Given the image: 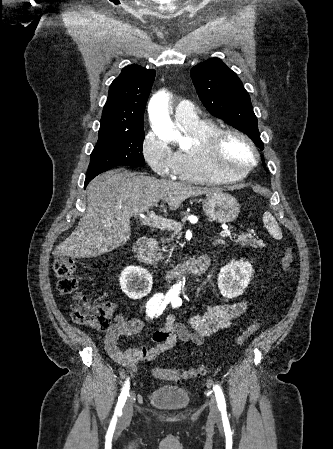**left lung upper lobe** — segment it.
<instances>
[{
    "label": "left lung upper lobe",
    "instance_id": "5c2ea615",
    "mask_svg": "<svg viewBox=\"0 0 333 449\" xmlns=\"http://www.w3.org/2000/svg\"><path fill=\"white\" fill-rule=\"evenodd\" d=\"M191 77L207 110L242 130L263 150L250 96L236 73L219 58H211L194 66Z\"/></svg>",
    "mask_w": 333,
    "mask_h": 449
}]
</instances>
